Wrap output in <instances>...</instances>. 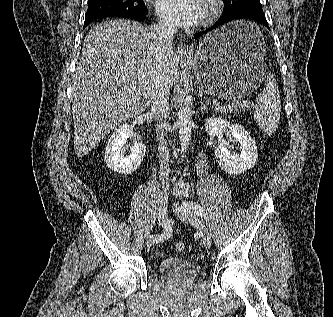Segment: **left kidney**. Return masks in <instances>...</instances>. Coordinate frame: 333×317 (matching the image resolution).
Instances as JSON below:
<instances>
[{
  "label": "left kidney",
  "instance_id": "5707ae66",
  "mask_svg": "<svg viewBox=\"0 0 333 317\" xmlns=\"http://www.w3.org/2000/svg\"><path fill=\"white\" fill-rule=\"evenodd\" d=\"M205 128L211 136H222L227 131L240 143V154L231 153L225 143H220L215 148V157L222 170L238 175L256 164L258 153L255 141L243 126L232 124L222 117H211L206 119Z\"/></svg>",
  "mask_w": 333,
  "mask_h": 317
}]
</instances>
